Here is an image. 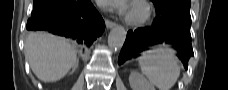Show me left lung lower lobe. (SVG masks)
Listing matches in <instances>:
<instances>
[{"label":"left lung lower lobe","instance_id":"0a47b994","mask_svg":"<svg viewBox=\"0 0 228 90\" xmlns=\"http://www.w3.org/2000/svg\"><path fill=\"white\" fill-rule=\"evenodd\" d=\"M190 27V12L181 13L180 16L157 12L152 26L139 28L127 33L125 44L119 55L118 64L139 56L150 45L167 42L177 49L178 57L185 69H188V61L194 55L191 45Z\"/></svg>","mask_w":228,"mask_h":90}]
</instances>
